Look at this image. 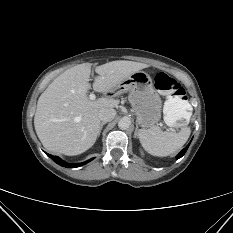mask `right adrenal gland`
<instances>
[{
    "instance_id": "1",
    "label": "right adrenal gland",
    "mask_w": 233,
    "mask_h": 233,
    "mask_svg": "<svg viewBox=\"0 0 233 233\" xmlns=\"http://www.w3.org/2000/svg\"><path fill=\"white\" fill-rule=\"evenodd\" d=\"M106 124V122H102L101 123V126H100V130H99V133H98V136H100V133H101V131H102V128H103V126Z\"/></svg>"
}]
</instances>
